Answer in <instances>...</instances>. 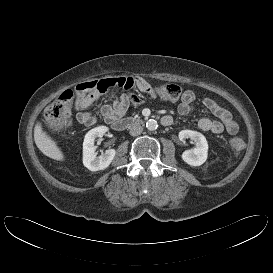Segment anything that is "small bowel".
Listing matches in <instances>:
<instances>
[{"instance_id":"1","label":"small bowel","mask_w":273,"mask_h":273,"mask_svg":"<svg viewBox=\"0 0 273 273\" xmlns=\"http://www.w3.org/2000/svg\"><path fill=\"white\" fill-rule=\"evenodd\" d=\"M138 89L150 96H153V89L150 84L142 79L137 78ZM98 95L86 97L79 100L76 103L77 109V121L85 126H93L96 123V117L87 110V108L93 103ZM196 100V94L192 90H186L183 92L180 103L178 105L177 111L180 115H188L194 110L193 103ZM140 103V97L133 93H127L121 95L120 98L116 99L112 104L102 105L100 108V113L104 116L107 122L114 117L124 116L130 107V105H136ZM203 105L216 117V119L201 118L198 121L199 129L203 131H209L215 134L222 133L226 131L230 135H235L239 130L238 123L233 119L231 113L217 103L212 98H204L202 101ZM170 119L171 123L173 121L171 116H166ZM171 125V124H170Z\"/></svg>"}]
</instances>
